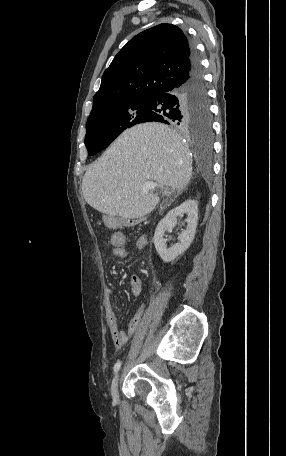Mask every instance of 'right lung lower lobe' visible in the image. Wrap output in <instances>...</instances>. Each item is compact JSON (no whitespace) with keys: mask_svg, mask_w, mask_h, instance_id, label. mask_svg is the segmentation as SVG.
<instances>
[{"mask_svg":"<svg viewBox=\"0 0 286 456\" xmlns=\"http://www.w3.org/2000/svg\"><path fill=\"white\" fill-rule=\"evenodd\" d=\"M182 82L146 100L151 109L146 122L157 121L179 128L205 123L210 117L209 101L200 60L193 46L190 70Z\"/></svg>","mask_w":286,"mask_h":456,"instance_id":"right-lung-lower-lobe-1","label":"right lung lower lobe"}]
</instances>
